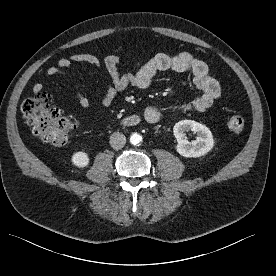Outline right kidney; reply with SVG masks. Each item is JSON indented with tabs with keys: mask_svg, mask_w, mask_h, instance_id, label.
Masks as SVG:
<instances>
[{
	"mask_svg": "<svg viewBox=\"0 0 276 276\" xmlns=\"http://www.w3.org/2000/svg\"><path fill=\"white\" fill-rule=\"evenodd\" d=\"M71 162L76 167L84 168L89 165L90 159L87 153L78 151L72 155Z\"/></svg>",
	"mask_w": 276,
	"mask_h": 276,
	"instance_id": "ca27d5eb",
	"label": "right kidney"
}]
</instances>
